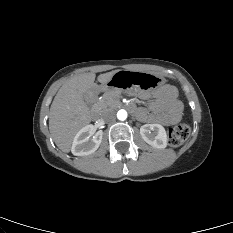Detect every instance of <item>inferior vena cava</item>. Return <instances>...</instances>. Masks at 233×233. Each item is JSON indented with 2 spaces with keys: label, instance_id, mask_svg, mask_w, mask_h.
I'll list each match as a JSON object with an SVG mask.
<instances>
[{
  "label": "inferior vena cava",
  "instance_id": "602c4592",
  "mask_svg": "<svg viewBox=\"0 0 233 233\" xmlns=\"http://www.w3.org/2000/svg\"><path fill=\"white\" fill-rule=\"evenodd\" d=\"M102 118L106 122H112L115 120V113L111 110H107L102 114Z\"/></svg>",
  "mask_w": 233,
  "mask_h": 233
}]
</instances>
